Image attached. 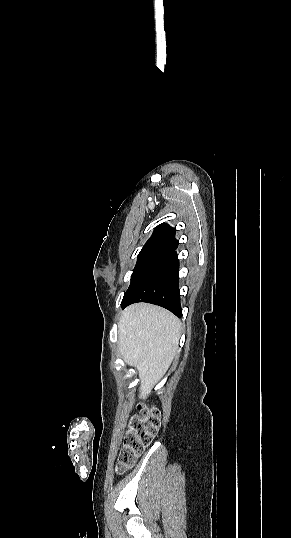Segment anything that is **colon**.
I'll list each match as a JSON object with an SVG mask.
<instances>
[{"label": "colon", "mask_w": 291, "mask_h": 538, "mask_svg": "<svg viewBox=\"0 0 291 538\" xmlns=\"http://www.w3.org/2000/svg\"><path fill=\"white\" fill-rule=\"evenodd\" d=\"M161 424L160 412L155 407H143L133 418L120 451L116 471L130 468L142 451L151 443Z\"/></svg>", "instance_id": "5ec220e1"}]
</instances>
